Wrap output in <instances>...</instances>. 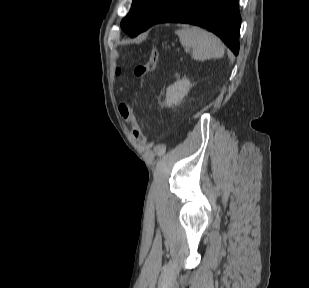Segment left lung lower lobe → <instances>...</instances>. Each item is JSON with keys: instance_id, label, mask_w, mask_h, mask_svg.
Listing matches in <instances>:
<instances>
[{"instance_id": "left-lung-lower-lobe-1", "label": "left lung lower lobe", "mask_w": 309, "mask_h": 288, "mask_svg": "<svg viewBox=\"0 0 309 288\" xmlns=\"http://www.w3.org/2000/svg\"><path fill=\"white\" fill-rule=\"evenodd\" d=\"M165 22L203 27L219 36L238 55L241 23L238 0H163L144 26L130 36H137L151 26Z\"/></svg>"}]
</instances>
